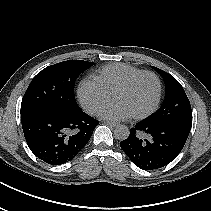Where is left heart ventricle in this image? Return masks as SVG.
I'll list each match as a JSON object with an SVG mask.
<instances>
[{
    "label": "left heart ventricle",
    "instance_id": "obj_1",
    "mask_svg": "<svg viewBox=\"0 0 211 211\" xmlns=\"http://www.w3.org/2000/svg\"><path fill=\"white\" fill-rule=\"evenodd\" d=\"M157 96V83L151 76H145L129 89L113 97V101L123 105L132 115L140 114L152 107Z\"/></svg>",
    "mask_w": 211,
    "mask_h": 211
}]
</instances>
